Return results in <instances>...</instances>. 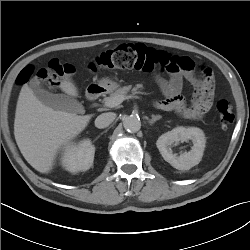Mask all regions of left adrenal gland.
I'll return each instance as SVG.
<instances>
[{"label":"left adrenal gland","mask_w":250,"mask_h":250,"mask_svg":"<svg viewBox=\"0 0 250 250\" xmlns=\"http://www.w3.org/2000/svg\"><path fill=\"white\" fill-rule=\"evenodd\" d=\"M162 116L161 115H152V118L149 119V124L152 125L153 123H155L157 120L161 119Z\"/></svg>","instance_id":"obj_1"}]
</instances>
